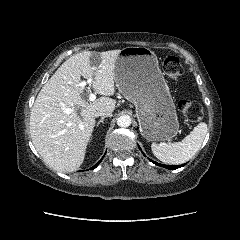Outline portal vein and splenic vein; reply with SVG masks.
Masks as SVG:
<instances>
[{
    "instance_id": "portal-vein-and-splenic-vein-1",
    "label": "portal vein and splenic vein",
    "mask_w": 240,
    "mask_h": 240,
    "mask_svg": "<svg viewBox=\"0 0 240 240\" xmlns=\"http://www.w3.org/2000/svg\"><path fill=\"white\" fill-rule=\"evenodd\" d=\"M92 83V79L89 78L86 81H82L78 84L79 87L84 88L86 85H90ZM96 99V95L94 93H90L89 94V100L90 101H94ZM72 110L71 109H67L66 112L70 113Z\"/></svg>"
}]
</instances>
